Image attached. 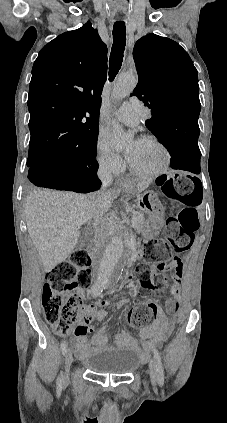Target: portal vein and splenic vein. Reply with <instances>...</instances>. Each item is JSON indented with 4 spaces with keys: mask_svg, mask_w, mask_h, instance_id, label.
I'll return each instance as SVG.
<instances>
[{
    "mask_svg": "<svg viewBox=\"0 0 227 423\" xmlns=\"http://www.w3.org/2000/svg\"><path fill=\"white\" fill-rule=\"evenodd\" d=\"M114 217H116V215H114ZM131 221L132 223H136V217H131Z\"/></svg>",
    "mask_w": 227,
    "mask_h": 423,
    "instance_id": "obj_1",
    "label": "portal vein and splenic vein"
}]
</instances>
